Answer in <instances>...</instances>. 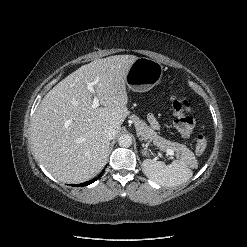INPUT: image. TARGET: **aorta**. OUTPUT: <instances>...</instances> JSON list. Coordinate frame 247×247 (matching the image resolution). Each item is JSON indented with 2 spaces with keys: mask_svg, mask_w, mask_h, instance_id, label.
Listing matches in <instances>:
<instances>
[{
  "mask_svg": "<svg viewBox=\"0 0 247 247\" xmlns=\"http://www.w3.org/2000/svg\"><path fill=\"white\" fill-rule=\"evenodd\" d=\"M118 144L121 147L128 148L132 145V138L128 134H123L118 139Z\"/></svg>",
  "mask_w": 247,
  "mask_h": 247,
  "instance_id": "762f6f07",
  "label": "aorta"
}]
</instances>
